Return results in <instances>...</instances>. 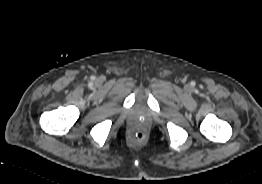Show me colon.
I'll return each mask as SVG.
<instances>
[{
	"label": "colon",
	"instance_id": "colon-1",
	"mask_svg": "<svg viewBox=\"0 0 262 184\" xmlns=\"http://www.w3.org/2000/svg\"><path fill=\"white\" fill-rule=\"evenodd\" d=\"M131 139L135 143H142L146 139V133L141 127L137 126L131 133Z\"/></svg>",
	"mask_w": 262,
	"mask_h": 184
}]
</instances>
